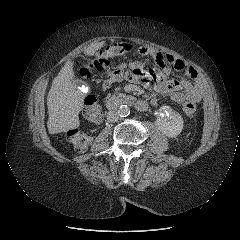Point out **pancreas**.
<instances>
[{
    "label": "pancreas",
    "mask_w": 240,
    "mask_h": 240,
    "mask_svg": "<svg viewBox=\"0 0 240 240\" xmlns=\"http://www.w3.org/2000/svg\"><path fill=\"white\" fill-rule=\"evenodd\" d=\"M131 98H132L131 96H127L126 94L116 93L110 97V100L127 101Z\"/></svg>",
    "instance_id": "pancreas-1"
}]
</instances>
